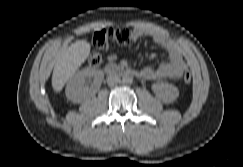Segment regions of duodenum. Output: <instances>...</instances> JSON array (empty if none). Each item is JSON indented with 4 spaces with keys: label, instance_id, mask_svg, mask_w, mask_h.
<instances>
[{
    "label": "duodenum",
    "instance_id": "obj_1",
    "mask_svg": "<svg viewBox=\"0 0 243 167\" xmlns=\"http://www.w3.org/2000/svg\"><path fill=\"white\" fill-rule=\"evenodd\" d=\"M104 72L108 76L122 75V76H134L137 78L143 77L142 72L137 69L130 68V67H124V66H120V65H114V64H108L104 68Z\"/></svg>",
    "mask_w": 243,
    "mask_h": 167
}]
</instances>
